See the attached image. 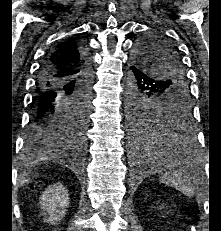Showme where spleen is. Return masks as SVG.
Returning <instances> with one entry per match:
<instances>
[{
  "label": "spleen",
  "instance_id": "3e777b00",
  "mask_svg": "<svg viewBox=\"0 0 221 231\" xmlns=\"http://www.w3.org/2000/svg\"><path fill=\"white\" fill-rule=\"evenodd\" d=\"M161 180L166 185L175 188L186 196L191 197L195 194L194 188L190 185L188 178L180 172L164 174Z\"/></svg>",
  "mask_w": 221,
  "mask_h": 231
}]
</instances>
